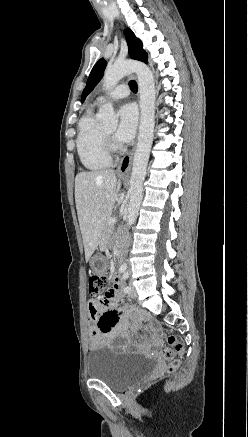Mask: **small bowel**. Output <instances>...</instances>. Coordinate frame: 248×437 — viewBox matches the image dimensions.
Returning a JSON list of instances; mask_svg holds the SVG:
<instances>
[{
	"instance_id": "c3829d8e",
	"label": "small bowel",
	"mask_w": 248,
	"mask_h": 437,
	"mask_svg": "<svg viewBox=\"0 0 248 437\" xmlns=\"http://www.w3.org/2000/svg\"><path fill=\"white\" fill-rule=\"evenodd\" d=\"M120 280L117 278L112 289L100 299L88 302L89 349L102 347L116 348L124 352H144L161 342L154 328L142 336H137L138 323L130 324L128 309L113 306L121 299ZM117 339L122 343L115 345Z\"/></svg>"
}]
</instances>
